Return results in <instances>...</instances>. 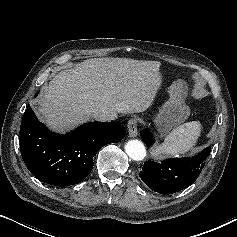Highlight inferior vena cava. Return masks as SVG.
I'll use <instances>...</instances> for the list:
<instances>
[{
    "mask_svg": "<svg viewBox=\"0 0 237 237\" xmlns=\"http://www.w3.org/2000/svg\"><path fill=\"white\" fill-rule=\"evenodd\" d=\"M93 117L99 121H111L117 118V114L113 111H97L93 113Z\"/></svg>",
    "mask_w": 237,
    "mask_h": 237,
    "instance_id": "602c4592",
    "label": "inferior vena cava"
}]
</instances>
